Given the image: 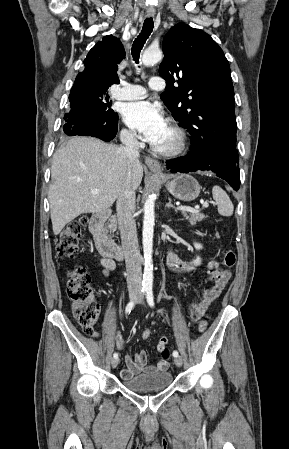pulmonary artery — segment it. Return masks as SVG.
Segmentation results:
<instances>
[{
  "label": "pulmonary artery",
  "mask_w": 289,
  "mask_h": 449,
  "mask_svg": "<svg viewBox=\"0 0 289 449\" xmlns=\"http://www.w3.org/2000/svg\"><path fill=\"white\" fill-rule=\"evenodd\" d=\"M149 87L152 90H162L165 87V81L161 77H152L149 81ZM111 95L118 100L141 99L146 95V90L140 85L122 82L120 87H115Z\"/></svg>",
  "instance_id": "obj_1"
}]
</instances>
